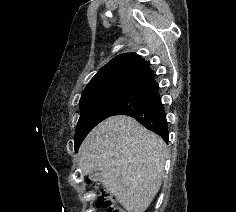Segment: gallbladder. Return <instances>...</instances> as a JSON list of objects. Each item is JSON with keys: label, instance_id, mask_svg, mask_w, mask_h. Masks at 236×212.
Here are the masks:
<instances>
[{"label": "gallbladder", "instance_id": "gallbladder-1", "mask_svg": "<svg viewBox=\"0 0 236 212\" xmlns=\"http://www.w3.org/2000/svg\"><path fill=\"white\" fill-rule=\"evenodd\" d=\"M89 178L93 181H100L101 180V173L99 170L95 169L89 173Z\"/></svg>", "mask_w": 236, "mask_h": 212}]
</instances>
